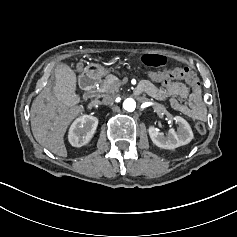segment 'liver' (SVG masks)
<instances>
[{
    "label": "liver",
    "mask_w": 237,
    "mask_h": 237,
    "mask_svg": "<svg viewBox=\"0 0 237 237\" xmlns=\"http://www.w3.org/2000/svg\"><path fill=\"white\" fill-rule=\"evenodd\" d=\"M79 102L76 98L75 104ZM83 107H68L49 92L40 93L31 107V129L36 141L52 153L67 157L64 134L71 121L82 113Z\"/></svg>",
    "instance_id": "obj_1"
}]
</instances>
